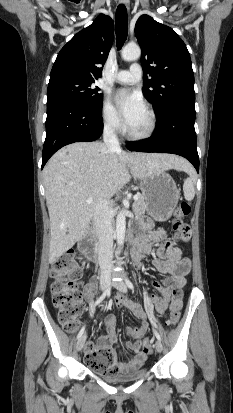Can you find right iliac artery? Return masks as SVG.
<instances>
[{
  "label": "right iliac artery",
  "instance_id": "right-iliac-artery-1",
  "mask_svg": "<svg viewBox=\"0 0 233 413\" xmlns=\"http://www.w3.org/2000/svg\"><path fill=\"white\" fill-rule=\"evenodd\" d=\"M110 289H111V288L108 287V288L105 290V292L96 300L95 304L91 307V312H93L94 309H95V306L98 305V304H100V303L104 300V298L110 293ZM84 330H85V326L82 327V329H81L80 332L78 333V335H77V338H78V339L82 336V334L84 333Z\"/></svg>",
  "mask_w": 233,
  "mask_h": 413
}]
</instances>
